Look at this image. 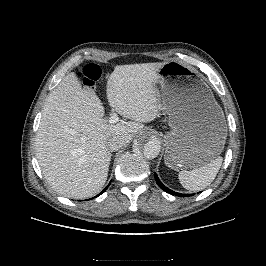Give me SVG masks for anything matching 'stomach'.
Returning a JSON list of instances; mask_svg holds the SVG:
<instances>
[{
    "label": "stomach",
    "mask_w": 266,
    "mask_h": 266,
    "mask_svg": "<svg viewBox=\"0 0 266 266\" xmlns=\"http://www.w3.org/2000/svg\"><path fill=\"white\" fill-rule=\"evenodd\" d=\"M161 104L171 131L165 137V164L172 169L201 167L223 151L224 113L202 77L181 62H166L158 71Z\"/></svg>",
    "instance_id": "stomach-1"
}]
</instances>
